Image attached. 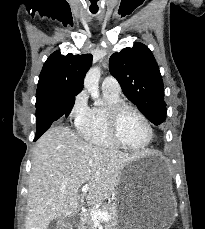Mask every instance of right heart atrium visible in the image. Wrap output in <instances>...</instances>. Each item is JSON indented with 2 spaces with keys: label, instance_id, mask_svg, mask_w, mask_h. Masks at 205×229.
<instances>
[{
  "label": "right heart atrium",
  "instance_id": "1",
  "mask_svg": "<svg viewBox=\"0 0 205 229\" xmlns=\"http://www.w3.org/2000/svg\"><path fill=\"white\" fill-rule=\"evenodd\" d=\"M90 107L88 106L87 96L84 91L79 92L73 99L69 117L74 122V124L78 127L89 116Z\"/></svg>",
  "mask_w": 205,
  "mask_h": 229
}]
</instances>
